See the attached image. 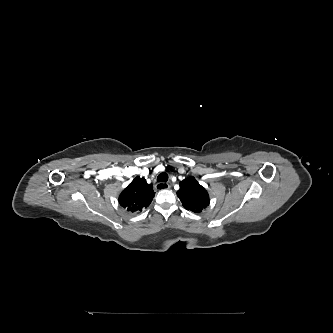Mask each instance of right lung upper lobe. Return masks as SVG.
<instances>
[{"instance_id":"1","label":"right lung upper lobe","mask_w":333,"mask_h":333,"mask_svg":"<svg viewBox=\"0 0 333 333\" xmlns=\"http://www.w3.org/2000/svg\"><path fill=\"white\" fill-rule=\"evenodd\" d=\"M153 186L144 178L136 177L120 194L119 204L129 212H140L154 197Z\"/></svg>"}]
</instances>
